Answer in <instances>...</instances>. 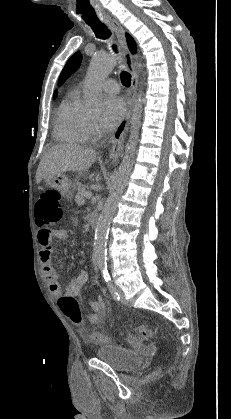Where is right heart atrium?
<instances>
[{
  "instance_id": "1",
  "label": "right heart atrium",
  "mask_w": 231,
  "mask_h": 419,
  "mask_svg": "<svg viewBox=\"0 0 231 419\" xmlns=\"http://www.w3.org/2000/svg\"><path fill=\"white\" fill-rule=\"evenodd\" d=\"M96 132V125L94 123H90L89 125V134L92 135Z\"/></svg>"
}]
</instances>
